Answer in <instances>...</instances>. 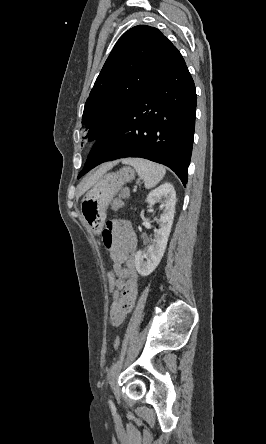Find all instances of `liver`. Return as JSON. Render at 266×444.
<instances>
[{"mask_svg":"<svg viewBox=\"0 0 266 444\" xmlns=\"http://www.w3.org/2000/svg\"><path fill=\"white\" fill-rule=\"evenodd\" d=\"M117 162H110L102 165L94 174H92L83 184L80 194L82 195L90 189L108 170H110Z\"/></svg>","mask_w":266,"mask_h":444,"instance_id":"6515ba94","label":"liver"}]
</instances>
